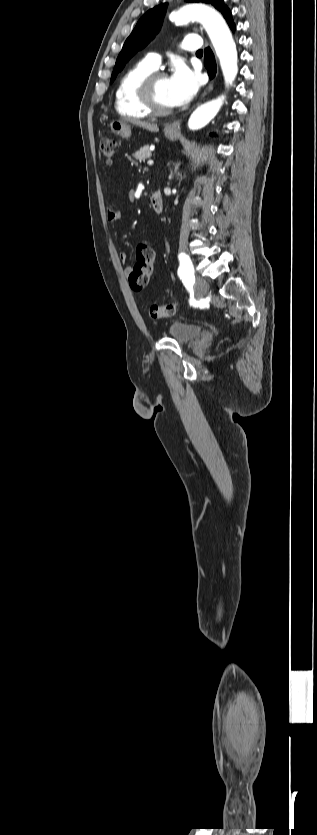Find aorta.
Masks as SVG:
<instances>
[{"mask_svg":"<svg viewBox=\"0 0 317 835\" xmlns=\"http://www.w3.org/2000/svg\"><path fill=\"white\" fill-rule=\"evenodd\" d=\"M169 19L176 24H187L195 19L203 25L220 61L225 84L231 85L238 73V56L232 34L223 17L206 5L189 4L171 11ZM224 99L221 96L199 106L188 120L189 129L198 130L206 126L218 114Z\"/></svg>","mask_w":317,"mask_h":835,"instance_id":"obj_1","label":"aorta"}]
</instances>
